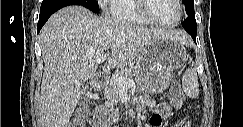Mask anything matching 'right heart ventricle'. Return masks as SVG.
<instances>
[{"label": "right heart ventricle", "instance_id": "e07e8e85", "mask_svg": "<svg viewBox=\"0 0 243 127\" xmlns=\"http://www.w3.org/2000/svg\"><path fill=\"white\" fill-rule=\"evenodd\" d=\"M138 0H111V16L120 22L149 26V23L139 12Z\"/></svg>", "mask_w": 243, "mask_h": 127}]
</instances>
